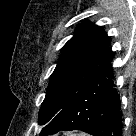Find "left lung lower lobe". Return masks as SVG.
Here are the masks:
<instances>
[{
    "instance_id": "obj_1",
    "label": "left lung lower lobe",
    "mask_w": 136,
    "mask_h": 136,
    "mask_svg": "<svg viewBox=\"0 0 136 136\" xmlns=\"http://www.w3.org/2000/svg\"><path fill=\"white\" fill-rule=\"evenodd\" d=\"M112 54L49 121L40 136L61 130H81L93 136H121L118 94L113 89Z\"/></svg>"
}]
</instances>
